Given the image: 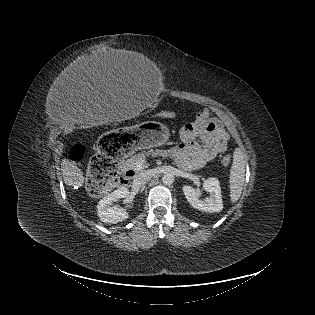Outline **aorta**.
I'll return each mask as SVG.
<instances>
[{"mask_svg":"<svg viewBox=\"0 0 315 315\" xmlns=\"http://www.w3.org/2000/svg\"><path fill=\"white\" fill-rule=\"evenodd\" d=\"M162 182L165 185H171L174 182V175L172 173H165L162 176Z\"/></svg>","mask_w":315,"mask_h":315,"instance_id":"1","label":"aorta"}]
</instances>
